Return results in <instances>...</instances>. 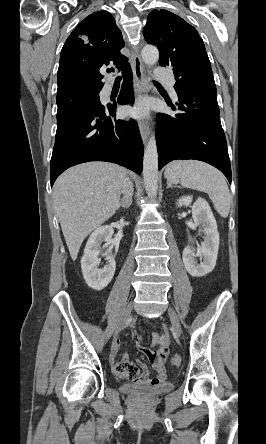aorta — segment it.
Here are the masks:
<instances>
[{
	"label": "aorta",
	"mask_w": 266,
	"mask_h": 444,
	"mask_svg": "<svg viewBox=\"0 0 266 444\" xmlns=\"http://www.w3.org/2000/svg\"><path fill=\"white\" fill-rule=\"evenodd\" d=\"M141 56L145 64L153 66L159 60V51L153 45H146ZM143 181L147 195L155 198L158 191V152L154 135L149 138L144 151Z\"/></svg>",
	"instance_id": "obj_1"
}]
</instances>
